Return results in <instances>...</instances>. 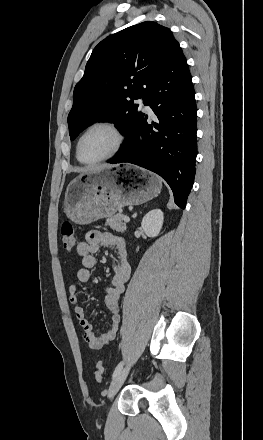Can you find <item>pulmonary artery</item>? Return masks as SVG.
<instances>
[{
  "mask_svg": "<svg viewBox=\"0 0 263 440\" xmlns=\"http://www.w3.org/2000/svg\"><path fill=\"white\" fill-rule=\"evenodd\" d=\"M138 102L142 104V103H143V99H142V98L139 99ZM145 109L148 110V111L151 110L149 105H146V106H145Z\"/></svg>",
  "mask_w": 263,
  "mask_h": 440,
  "instance_id": "pulmonary-artery-1",
  "label": "pulmonary artery"
}]
</instances>
